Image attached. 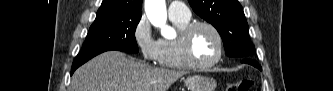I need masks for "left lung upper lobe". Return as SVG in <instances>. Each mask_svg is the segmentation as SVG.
<instances>
[{"instance_id": "5c2ea615", "label": "left lung upper lobe", "mask_w": 333, "mask_h": 91, "mask_svg": "<svg viewBox=\"0 0 333 91\" xmlns=\"http://www.w3.org/2000/svg\"><path fill=\"white\" fill-rule=\"evenodd\" d=\"M194 12L211 23L222 37L229 57L252 58L248 24L238 0H188Z\"/></svg>"}]
</instances>
